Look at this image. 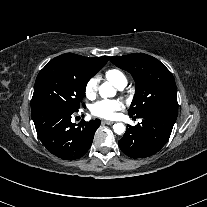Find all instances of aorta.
<instances>
[{"mask_svg": "<svg viewBox=\"0 0 207 207\" xmlns=\"http://www.w3.org/2000/svg\"><path fill=\"white\" fill-rule=\"evenodd\" d=\"M99 94L102 98L113 97L116 94L115 89L110 83H103L99 87ZM114 132L121 135L125 132V125L123 123H116L113 125Z\"/></svg>", "mask_w": 207, "mask_h": 207, "instance_id": "obj_1", "label": "aorta"}]
</instances>
